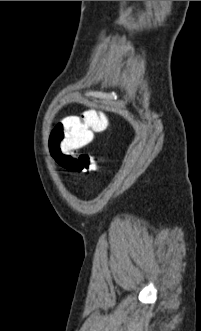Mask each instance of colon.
<instances>
[{"label":"colon","instance_id":"1","mask_svg":"<svg viewBox=\"0 0 201 331\" xmlns=\"http://www.w3.org/2000/svg\"><path fill=\"white\" fill-rule=\"evenodd\" d=\"M109 120L105 114L91 110L81 116L61 119L52 129L49 148L57 163L66 171L84 173L95 170L96 161L87 153L73 150L88 145L96 132L107 130Z\"/></svg>","mask_w":201,"mask_h":331}]
</instances>
